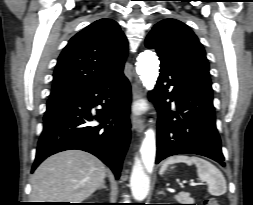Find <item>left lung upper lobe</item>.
<instances>
[{"instance_id": "1", "label": "left lung upper lobe", "mask_w": 253, "mask_h": 205, "mask_svg": "<svg viewBox=\"0 0 253 205\" xmlns=\"http://www.w3.org/2000/svg\"><path fill=\"white\" fill-rule=\"evenodd\" d=\"M145 44L156 49L160 58L173 61L212 89L204 48L187 25L176 19H164L153 27Z\"/></svg>"}]
</instances>
